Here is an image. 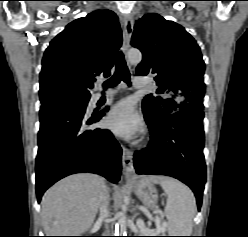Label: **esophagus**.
<instances>
[{"label":"esophagus","mask_w":248,"mask_h":237,"mask_svg":"<svg viewBox=\"0 0 248 237\" xmlns=\"http://www.w3.org/2000/svg\"><path fill=\"white\" fill-rule=\"evenodd\" d=\"M123 25V52L126 53L130 46V40L133 33V19L130 14H125L123 16ZM122 167L124 176L127 180L133 179L135 177L133 152L125 146H123Z\"/></svg>","instance_id":"34e87169"}]
</instances>
